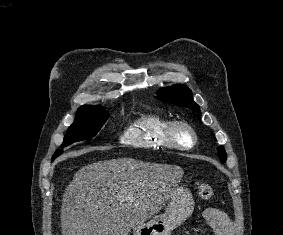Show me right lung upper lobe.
<instances>
[{
  "label": "right lung upper lobe",
  "mask_w": 283,
  "mask_h": 235,
  "mask_svg": "<svg viewBox=\"0 0 283 235\" xmlns=\"http://www.w3.org/2000/svg\"><path fill=\"white\" fill-rule=\"evenodd\" d=\"M81 107H91V106L89 105V106H81Z\"/></svg>",
  "instance_id": "cb5924a9"
}]
</instances>
